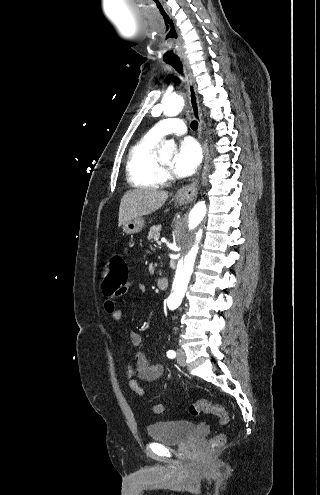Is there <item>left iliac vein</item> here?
Wrapping results in <instances>:
<instances>
[{"instance_id": "obj_1", "label": "left iliac vein", "mask_w": 320, "mask_h": 495, "mask_svg": "<svg viewBox=\"0 0 320 495\" xmlns=\"http://www.w3.org/2000/svg\"><path fill=\"white\" fill-rule=\"evenodd\" d=\"M176 352H177L176 359H177L178 364L180 366L184 367L186 365V355H185V352L182 349H180V348H178Z\"/></svg>"}]
</instances>
